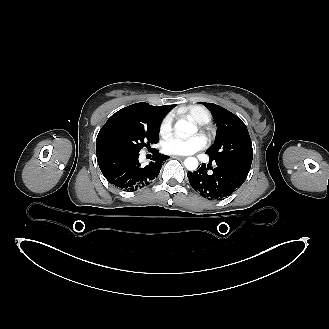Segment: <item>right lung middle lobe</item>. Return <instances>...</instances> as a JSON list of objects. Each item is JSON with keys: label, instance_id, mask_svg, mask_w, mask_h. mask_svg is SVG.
<instances>
[{"label": "right lung middle lobe", "instance_id": "dd1d6c3e", "mask_svg": "<svg viewBox=\"0 0 329 329\" xmlns=\"http://www.w3.org/2000/svg\"><path fill=\"white\" fill-rule=\"evenodd\" d=\"M165 115L154 117L145 125H119L110 128L102 136L104 148L111 150H135L157 143L160 124Z\"/></svg>", "mask_w": 329, "mask_h": 329}]
</instances>
